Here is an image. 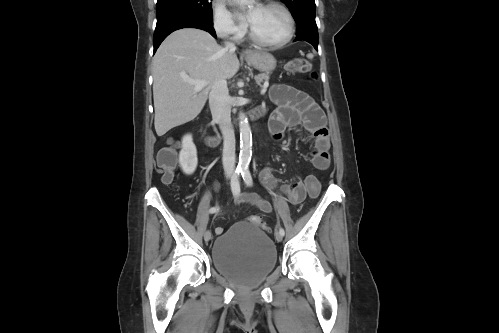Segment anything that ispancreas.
Instances as JSON below:
<instances>
[{"instance_id": "pancreas-1", "label": "pancreas", "mask_w": 499, "mask_h": 333, "mask_svg": "<svg viewBox=\"0 0 499 333\" xmlns=\"http://www.w3.org/2000/svg\"><path fill=\"white\" fill-rule=\"evenodd\" d=\"M254 78H255L256 83L261 86V83L263 81L269 80V73L259 74V75L255 76Z\"/></svg>"}]
</instances>
